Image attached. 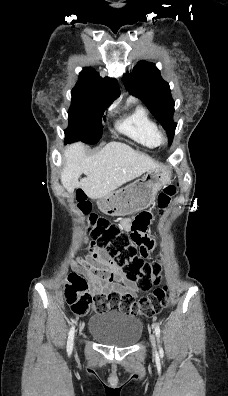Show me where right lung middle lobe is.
I'll return each mask as SVG.
<instances>
[{
    "mask_svg": "<svg viewBox=\"0 0 228 396\" xmlns=\"http://www.w3.org/2000/svg\"><path fill=\"white\" fill-rule=\"evenodd\" d=\"M72 104L68 111L69 126L65 130V141L81 140L95 144L102 136V118L108 103L99 97L86 93L71 92Z\"/></svg>",
    "mask_w": 228,
    "mask_h": 396,
    "instance_id": "1",
    "label": "right lung middle lobe"
}]
</instances>
